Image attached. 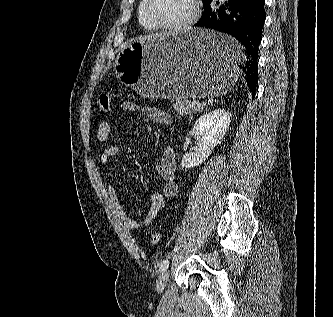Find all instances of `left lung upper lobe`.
Wrapping results in <instances>:
<instances>
[{"label": "left lung upper lobe", "instance_id": "obj_1", "mask_svg": "<svg viewBox=\"0 0 333 317\" xmlns=\"http://www.w3.org/2000/svg\"><path fill=\"white\" fill-rule=\"evenodd\" d=\"M210 1L211 0H202L204 9L207 7V5L209 4Z\"/></svg>", "mask_w": 333, "mask_h": 317}]
</instances>
